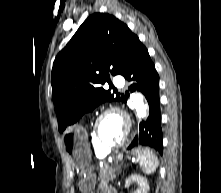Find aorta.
Here are the masks:
<instances>
[{"label":"aorta","instance_id":"obj_1","mask_svg":"<svg viewBox=\"0 0 221 193\" xmlns=\"http://www.w3.org/2000/svg\"><path fill=\"white\" fill-rule=\"evenodd\" d=\"M133 101L137 117L139 119L145 118L147 116L148 106L143 101V95L141 93H136Z\"/></svg>","mask_w":221,"mask_h":193}]
</instances>
